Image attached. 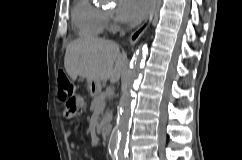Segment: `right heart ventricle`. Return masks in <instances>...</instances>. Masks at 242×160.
<instances>
[{
	"label": "right heart ventricle",
	"instance_id": "e07e8e85",
	"mask_svg": "<svg viewBox=\"0 0 242 160\" xmlns=\"http://www.w3.org/2000/svg\"><path fill=\"white\" fill-rule=\"evenodd\" d=\"M73 25L82 37H101L106 29L105 13L91 0H75L72 9Z\"/></svg>",
	"mask_w": 242,
	"mask_h": 160
}]
</instances>
